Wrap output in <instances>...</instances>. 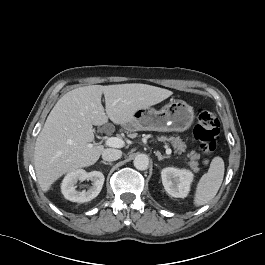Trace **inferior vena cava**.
<instances>
[{
  "instance_id": "1",
  "label": "inferior vena cava",
  "mask_w": 265,
  "mask_h": 265,
  "mask_svg": "<svg viewBox=\"0 0 265 265\" xmlns=\"http://www.w3.org/2000/svg\"><path fill=\"white\" fill-rule=\"evenodd\" d=\"M122 156V151L117 149L107 148L102 152V159L105 161H116Z\"/></svg>"
}]
</instances>
